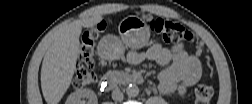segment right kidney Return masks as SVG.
<instances>
[{"mask_svg": "<svg viewBox=\"0 0 252 104\" xmlns=\"http://www.w3.org/2000/svg\"><path fill=\"white\" fill-rule=\"evenodd\" d=\"M84 98H88L89 102L92 104L97 103L96 94L92 90H89V89L77 90L71 93L68 96L66 103L67 104H83L85 103L83 100Z\"/></svg>", "mask_w": 252, "mask_h": 104, "instance_id": "right-kidney-1", "label": "right kidney"}]
</instances>
